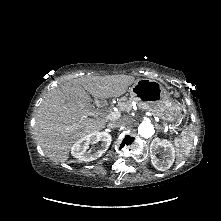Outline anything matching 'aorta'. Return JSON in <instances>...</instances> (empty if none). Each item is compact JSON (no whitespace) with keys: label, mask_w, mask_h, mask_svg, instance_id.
Segmentation results:
<instances>
[{"label":"aorta","mask_w":221,"mask_h":221,"mask_svg":"<svg viewBox=\"0 0 221 221\" xmlns=\"http://www.w3.org/2000/svg\"><path fill=\"white\" fill-rule=\"evenodd\" d=\"M138 133L144 138H150L155 133L151 122L143 121L138 127Z\"/></svg>","instance_id":"obj_1"}]
</instances>
